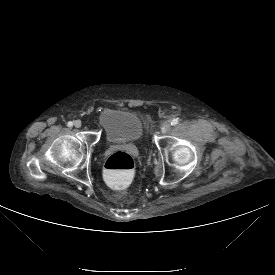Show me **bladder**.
<instances>
[{
    "label": "bladder",
    "mask_w": 275,
    "mask_h": 275,
    "mask_svg": "<svg viewBox=\"0 0 275 275\" xmlns=\"http://www.w3.org/2000/svg\"><path fill=\"white\" fill-rule=\"evenodd\" d=\"M106 139L111 143H132L143 132V118L130 109L107 108L98 115Z\"/></svg>",
    "instance_id": "1"
}]
</instances>
